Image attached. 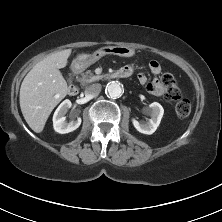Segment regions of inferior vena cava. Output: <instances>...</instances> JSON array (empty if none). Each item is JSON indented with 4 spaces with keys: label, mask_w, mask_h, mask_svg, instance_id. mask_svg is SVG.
Returning <instances> with one entry per match:
<instances>
[{
    "label": "inferior vena cava",
    "mask_w": 222,
    "mask_h": 222,
    "mask_svg": "<svg viewBox=\"0 0 222 222\" xmlns=\"http://www.w3.org/2000/svg\"><path fill=\"white\" fill-rule=\"evenodd\" d=\"M101 88L102 86L99 83L92 84L85 89V95L91 98L96 97L101 92Z\"/></svg>",
    "instance_id": "602c4592"
}]
</instances>
